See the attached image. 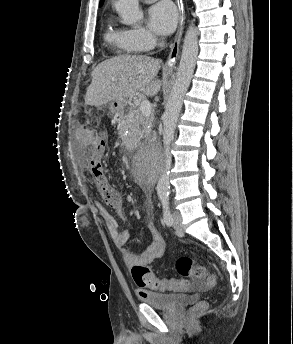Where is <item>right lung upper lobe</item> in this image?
Segmentation results:
<instances>
[{"instance_id":"cb5924a9","label":"right lung upper lobe","mask_w":293,"mask_h":344,"mask_svg":"<svg viewBox=\"0 0 293 344\" xmlns=\"http://www.w3.org/2000/svg\"><path fill=\"white\" fill-rule=\"evenodd\" d=\"M103 1H104V0H100V5H102Z\"/></svg>"}]
</instances>
